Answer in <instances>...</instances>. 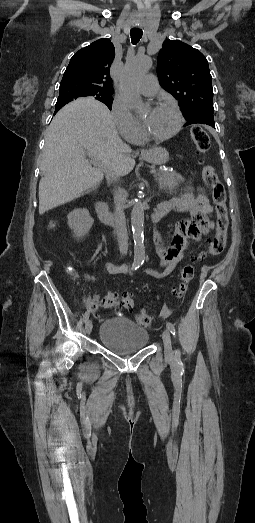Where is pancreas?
<instances>
[{
	"instance_id": "pancreas-1",
	"label": "pancreas",
	"mask_w": 255,
	"mask_h": 523,
	"mask_svg": "<svg viewBox=\"0 0 255 523\" xmlns=\"http://www.w3.org/2000/svg\"><path fill=\"white\" fill-rule=\"evenodd\" d=\"M158 182L159 190L163 192H169V194H176V186L178 182H183L184 178L176 172H164V170H158L154 176Z\"/></svg>"
}]
</instances>
